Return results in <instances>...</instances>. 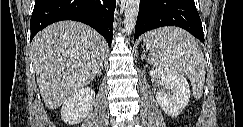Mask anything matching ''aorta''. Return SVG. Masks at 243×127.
I'll return each mask as SVG.
<instances>
[{
    "label": "aorta",
    "mask_w": 243,
    "mask_h": 127,
    "mask_svg": "<svg viewBox=\"0 0 243 127\" xmlns=\"http://www.w3.org/2000/svg\"><path fill=\"white\" fill-rule=\"evenodd\" d=\"M140 0H126L124 13V28L127 35L131 34L135 28Z\"/></svg>",
    "instance_id": "obj_1"
}]
</instances>
